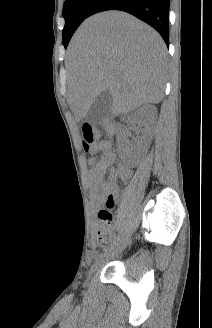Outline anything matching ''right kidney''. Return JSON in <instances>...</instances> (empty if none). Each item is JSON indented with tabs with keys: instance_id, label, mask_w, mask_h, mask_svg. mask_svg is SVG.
<instances>
[{
	"instance_id": "obj_1",
	"label": "right kidney",
	"mask_w": 212,
	"mask_h": 328,
	"mask_svg": "<svg viewBox=\"0 0 212 328\" xmlns=\"http://www.w3.org/2000/svg\"><path fill=\"white\" fill-rule=\"evenodd\" d=\"M157 109L154 105H144L127 117L128 125H138L137 134H141L140 141H148L152 136ZM127 133L124 135L126 136Z\"/></svg>"
}]
</instances>
